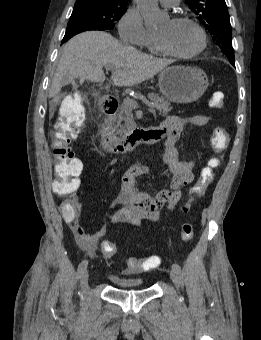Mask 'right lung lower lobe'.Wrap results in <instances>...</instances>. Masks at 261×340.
<instances>
[{
	"label": "right lung lower lobe",
	"mask_w": 261,
	"mask_h": 340,
	"mask_svg": "<svg viewBox=\"0 0 261 340\" xmlns=\"http://www.w3.org/2000/svg\"><path fill=\"white\" fill-rule=\"evenodd\" d=\"M88 30H99V29H97L94 26L86 25V24L69 25L66 29L65 36L62 40V43L66 42L67 40H69L74 35H76L80 32L88 31Z\"/></svg>",
	"instance_id": "obj_1"
}]
</instances>
